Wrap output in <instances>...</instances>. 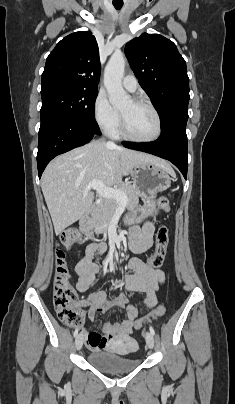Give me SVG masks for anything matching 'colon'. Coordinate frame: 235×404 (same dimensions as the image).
<instances>
[{
	"label": "colon",
	"instance_id": "obj_1",
	"mask_svg": "<svg viewBox=\"0 0 235 404\" xmlns=\"http://www.w3.org/2000/svg\"><path fill=\"white\" fill-rule=\"evenodd\" d=\"M159 206L169 210L167 198L160 197ZM83 242L82 234L75 229L65 230L59 238L56 250V273L54 278V307L59 320L69 327H78L82 321V310L77 302L76 293L70 285V276L63 249H69L73 245ZM169 242V234L166 227H160L156 233L155 252L147 260V266L153 269L159 268L164 262ZM165 306L159 305L148 316L136 319V328H142L148 323L157 320L165 313ZM107 338H102L101 343L106 344ZM127 348L129 346H126Z\"/></svg>",
	"mask_w": 235,
	"mask_h": 404
}]
</instances>
